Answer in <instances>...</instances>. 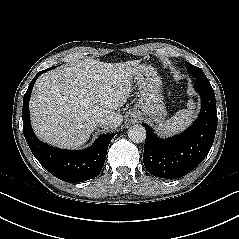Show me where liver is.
Masks as SVG:
<instances>
[{
	"mask_svg": "<svg viewBox=\"0 0 239 239\" xmlns=\"http://www.w3.org/2000/svg\"><path fill=\"white\" fill-rule=\"evenodd\" d=\"M139 61L106 63L84 59L72 66L57 68L35 83L30 99L31 122L41 140L60 148L85 144L100 117L114 130L123 116L116 113L129 98L132 78Z\"/></svg>",
	"mask_w": 239,
	"mask_h": 239,
	"instance_id": "1",
	"label": "liver"
}]
</instances>
